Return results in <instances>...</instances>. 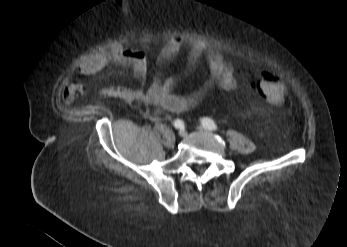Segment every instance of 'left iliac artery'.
I'll return each mask as SVG.
<instances>
[{"label":"left iliac artery","mask_w":347,"mask_h":247,"mask_svg":"<svg viewBox=\"0 0 347 247\" xmlns=\"http://www.w3.org/2000/svg\"><path fill=\"white\" fill-rule=\"evenodd\" d=\"M202 125L209 130H217V124L210 118H203L201 121Z\"/></svg>","instance_id":"44dca946"}]
</instances>
